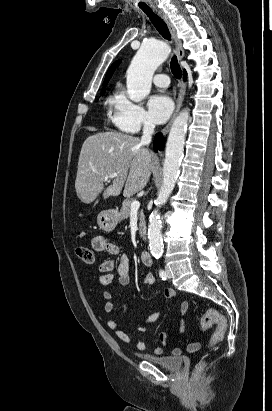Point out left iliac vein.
I'll list each match as a JSON object with an SVG mask.
<instances>
[{"instance_id":"obj_1","label":"left iliac vein","mask_w":272,"mask_h":411,"mask_svg":"<svg viewBox=\"0 0 272 411\" xmlns=\"http://www.w3.org/2000/svg\"><path fill=\"white\" fill-rule=\"evenodd\" d=\"M165 272H166L167 278H171V271L168 266L165 267Z\"/></svg>"}]
</instances>
